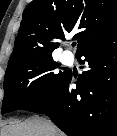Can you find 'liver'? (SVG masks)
<instances>
[{
  "mask_svg": "<svg viewBox=\"0 0 117 136\" xmlns=\"http://www.w3.org/2000/svg\"><path fill=\"white\" fill-rule=\"evenodd\" d=\"M4 136H64L50 121L32 118L22 123H12L3 129Z\"/></svg>",
  "mask_w": 117,
  "mask_h": 136,
  "instance_id": "1",
  "label": "liver"
}]
</instances>
